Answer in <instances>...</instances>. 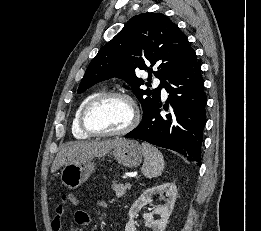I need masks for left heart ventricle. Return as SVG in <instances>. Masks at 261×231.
<instances>
[{
	"label": "left heart ventricle",
	"instance_id": "obj_1",
	"mask_svg": "<svg viewBox=\"0 0 261 231\" xmlns=\"http://www.w3.org/2000/svg\"><path fill=\"white\" fill-rule=\"evenodd\" d=\"M132 119V108L122 98H110L95 106L88 114V122L96 131H119Z\"/></svg>",
	"mask_w": 261,
	"mask_h": 231
}]
</instances>
